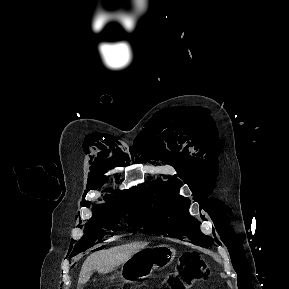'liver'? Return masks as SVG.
I'll use <instances>...</instances> for the list:
<instances>
[{"label":"liver","instance_id":"1","mask_svg":"<svg viewBox=\"0 0 289 289\" xmlns=\"http://www.w3.org/2000/svg\"><path fill=\"white\" fill-rule=\"evenodd\" d=\"M146 244L135 242L91 254L81 267L78 284H85L90 279L93 270H97L100 274L111 272L117 266L124 264L139 250L145 248Z\"/></svg>","mask_w":289,"mask_h":289}]
</instances>
